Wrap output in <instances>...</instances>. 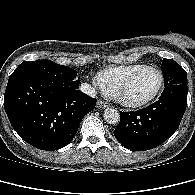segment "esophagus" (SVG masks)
<instances>
[{"mask_svg": "<svg viewBox=\"0 0 195 195\" xmlns=\"http://www.w3.org/2000/svg\"><path fill=\"white\" fill-rule=\"evenodd\" d=\"M96 107L99 108V109H104V108L108 107V105L104 101L98 100L97 104H96Z\"/></svg>", "mask_w": 195, "mask_h": 195, "instance_id": "obj_1", "label": "esophagus"}]
</instances>
